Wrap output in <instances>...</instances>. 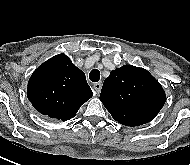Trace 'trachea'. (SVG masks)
Returning <instances> with one entry per match:
<instances>
[{"mask_svg": "<svg viewBox=\"0 0 190 165\" xmlns=\"http://www.w3.org/2000/svg\"><path fill=\"white\" fill-rule=\"evenodd\" d=\"M89 79L92 82H98L100 80V72L97 69H93L90 73H89Z\"/></svg>", "mask_w": 190, "mask_h": 165, "instance_id": "obj_1", "label": "trachea"}]
</instances>
